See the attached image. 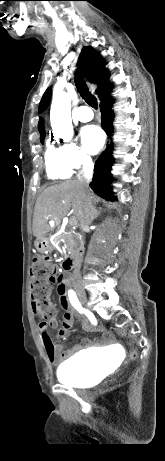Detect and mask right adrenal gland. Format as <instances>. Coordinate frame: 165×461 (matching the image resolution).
I'll list each match as a JSON object with an SVG mask.
<instances>
[{"label":"right adrenal gland","instance_id":"1","mask_svg":"<svg viewBox=\"0 0 165 461\" xmlns=\"http://www.w3.org/2000/svg\"><path fill=\"white\" fill-rule=\"evenodd\" d=\"M100 215V211L96 210V208H94V219H97Z\"/></svg>","mask_w":165,"mask_h":461}]
</instances>
